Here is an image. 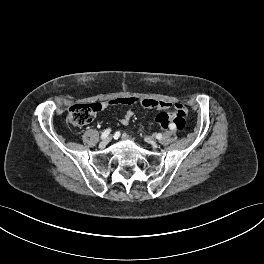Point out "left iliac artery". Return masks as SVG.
Listing matches in <instances>:
<instances>
[{
  "label": "left iliac artery",
  "mask_w": 264,
  "mask_h": 264,
  "mask_svg": "<svg viewBox=\"0 0 264 264\" xmlns=\"http://www.w3.org/2000/svg\"><path fill=\"white\" fill-rule=\"evenodd\" d=\"M170 129H175V126L173 124L170 125Z\"/></svg>",
  "instance_id": "obj_1"
}]
</instances>
